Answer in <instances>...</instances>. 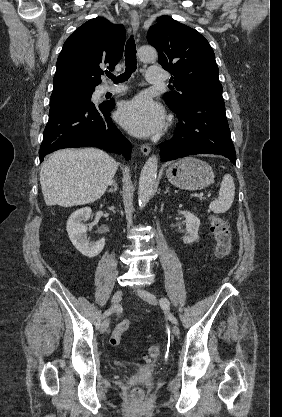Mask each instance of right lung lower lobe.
<instances>
[{
	"mask_svg": "<svg viewBox=\"0 0 282 417\" xmlns=\"http://www.w3.org/2000/svg\"><path fill=\"white\" fill-rule=\"evenodd\" d=\"M114 102L95 105L91 98L50 106L49 121L40 147V161L62 148L93 146L131 158V143L110 117Z\"/></svg>",
	"mask_w": 282,
	"mask_h": 417,
	"instance_id": "98d812e1",
	"label": "right lung lower lobe"
}]
</instances>
